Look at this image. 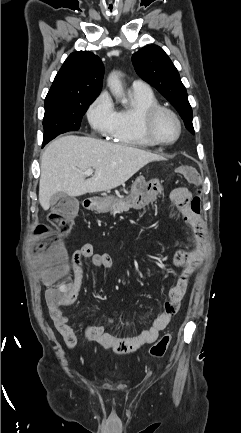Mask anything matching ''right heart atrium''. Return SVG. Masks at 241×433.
Segmentation results:
<instances>
[{"label": "right heart atrium", "instance_id": "1", "mask_svg": "<svg viewBox=\"0 0 241 433\" xmlns=\"http://www.w3.org/2000/svg\"><path fill=\"white\" fill-rule=\"evenodd\" d=\"M87 118L92 128L104 136L112 134L116 123V110L107 94H101L89 107Z\"/></svg>", "mask_w": 241, "mask_h": 433}]
</instances>
